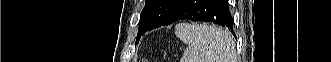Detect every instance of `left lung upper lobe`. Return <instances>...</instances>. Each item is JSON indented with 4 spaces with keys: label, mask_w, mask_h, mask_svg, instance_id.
Listing matches in <instances>:
<instances>
[{
    "label": "left lung upper lobe",
    "mask_w": 331,
    "mask_h": 62,
    "mask_svg": "<svg viewBox=\"0 0 331 62\" xmlns=\"http://www.w3.org/2000/svg\"><path fill=\"white\" fill-rule=\"evenodd\" d=\"M184 0H146L141 12L139 29L161 27Z\"/></svg>",
    "instance_id": "5c2ea615"
}]
</instances>
